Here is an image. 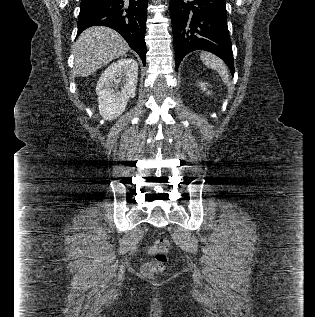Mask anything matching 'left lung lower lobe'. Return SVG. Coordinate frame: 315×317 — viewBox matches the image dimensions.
I'll list each match as a JSON object with an SVG mask.
<instances>
[{
  "label": "left lung lower lobe",
  "mask_w": 315,
  "mask_h": 317,
  "mask_svg": "<svg viewBox=\"0 0 315 317\" xmlns=\"http://www.w3.org/2000/svg\"><path fill=\"white\" fill-rule=\"evenodd\" d=\"M176 70L184 56L206 50L220 57L234 74L225 0H170Z\"/></svg>",
  "instance_id": "obj_1"
}]
</instances>
